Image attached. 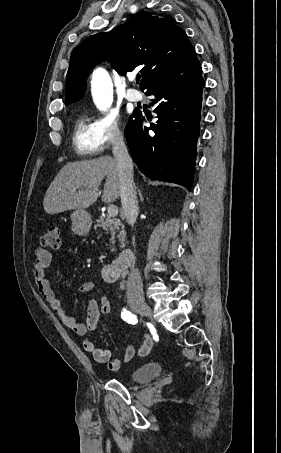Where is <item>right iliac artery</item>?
<instances>
[{"mask_svg": "<svg viewBox=\"0 0 281 453\" xmlns=\"http://www.w3.org/2000/svg\"><path fill=\"white\" fill-rule=\"evenodd\" d=\"M121 318L129 324H136L138 322L136 315L132 314L126 309H123V312L121 313Z\"/></svg>", "mask_w": 281, "mask_h": 453, "instance_id": "right-iliac-artery-1", "label": "right iliac artery"}]
</instances>
